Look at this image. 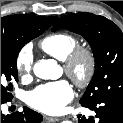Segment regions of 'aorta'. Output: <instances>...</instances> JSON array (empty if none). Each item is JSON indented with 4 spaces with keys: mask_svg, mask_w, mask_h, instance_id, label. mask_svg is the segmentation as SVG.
I'll return each mask as SVG.
<instances>
[{
    "mask_svg": "<svg viewBox=\"0 0 123 123\" xmlns=\"http://www.w3.org/2000/svg\"><path fill=\"white\" fill-rule=\"evenodd\" d=\"M34 74L41 79H57L59 77V66L55 60L41 59L35 63L33 67ZM62 123H72L71 121H63Z\"/></svg>",
    "mask_w": 123,
    "mask_h": 123,
    "instance_id": "1",
    "label": "aorta"
}]
</instances>
